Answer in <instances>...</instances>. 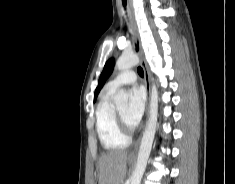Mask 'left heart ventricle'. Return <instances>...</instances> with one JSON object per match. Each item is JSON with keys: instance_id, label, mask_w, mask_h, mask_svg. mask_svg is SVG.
I'll return each instance as SVG.
<instances>
[{"instance_id": "1", "label": "left heart ventricle", "mask_w": 235, "mask_h": 184, "mask_svg": "<svg viewBox=\"0 0 235 184\" xmlns=\"http://www.w3.org/2000/svg\"><path fill=\"white\" fill-rule=\"evenodd\" d=\"M117 111L122 116V118L125 120V122L127 123L126 117H127V113H128V107L124 106Z\"/></svg>"}]
</instances>
